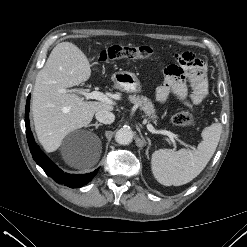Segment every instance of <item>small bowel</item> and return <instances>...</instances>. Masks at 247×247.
Instances as JSON below:
<instances>
[{
	"mask_svg": "<svg viewBox=\"0 0 247 247\" xmlns=\"http://www.w3.org/2000/svg\"><path fill=\"white\" fill-rule=\"evenodd\" d=\"M178 64L165 69V80L157 88L156 99L165 103L170 96L188 107L201 103L208 94L205 65L189 53L175 55ZM191 93H187V82Z\"/></svg>",
	"mask_w": 247,
	"mask_h": 247,
	"instance_id": "small-bowel-1",
	"label": "small bowel"
}]
</instances>
